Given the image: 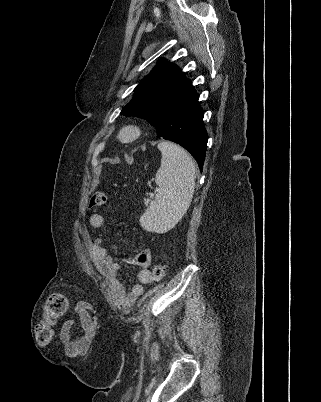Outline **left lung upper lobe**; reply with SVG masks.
<instances>
[{
	"label": "left lung upper lobe",
	"instance_id": "5c2ea615",
	"mask_svg": "<svg viewBox=\"0 0 321 402\" xmlns=\"http://www.w3.org/2000/svg\"><path fill=\"white\" fill-rule=\"evenodd\" d=\"M185 75L176 65L162 60L134 89L133 99L122 109L121 115L136 116L155 124L159 108L167 95Z\"/></svg>",
	"mask_w": 321,
	"mask_h": 402
}]
</instances>
